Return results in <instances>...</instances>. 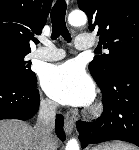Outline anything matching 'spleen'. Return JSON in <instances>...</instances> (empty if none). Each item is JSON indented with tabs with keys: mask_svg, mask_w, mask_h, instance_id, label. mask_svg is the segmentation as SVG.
Returning a JSON list of instances; mask_svg holds the SVG:
<instances>
[{
	"mask_svg": "<svg viewBox=\"0 0 139 150\" xmlns=\"http://www.w3.org/2000/svg\"><path fill=\"white\" fill-rule=\"evenodd\" d=\"M110 147H111V150H136L134 147L128 144L122 143V142L112 143Z\"/></svg>",
	"mask_w": 139,
	"mask_h": 150,
	"instance_id": "spleen-1",
	"label": "spleen"
}]
</instances>
